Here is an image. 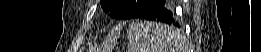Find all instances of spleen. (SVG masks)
Instances as JSON below:
<instances>
[{"label":"spleen","mask_w":261,"mask_h":52,"mask_svg":"<svg viewBox=\"0 0 261 52\" xmlns=\"http://www.w3.org/2000/svg\"><path fill=\"white\" fill-rule=\"evenodd\" d=\"M127 35L133 52H175V44L179 41L173 30L157 22H133Z\"/></svg>","instance_id":"1"}]
</instances>
